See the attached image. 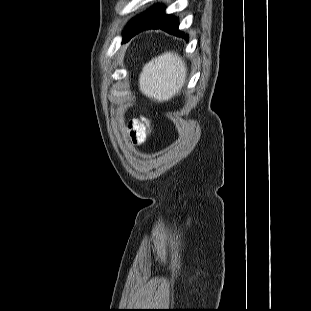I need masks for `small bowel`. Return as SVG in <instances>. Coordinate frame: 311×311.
Listing matches in <instances>:
<instances>
[{"instance_id":"obj_1","label":"small bowel","mask_w":311,"mask_h":311,"mask_svg":"<svg viewBox=\"0 0 311 311\" xmlns=\"http://www.w3.org/2000/svg\"><path fill=\"white\" fill-rule=\"evenodd\" d=\"M149 127V122L147 120H132L127 128V135L134 145H141L147 135V128Z\"/></svg>"}]
</instances>
